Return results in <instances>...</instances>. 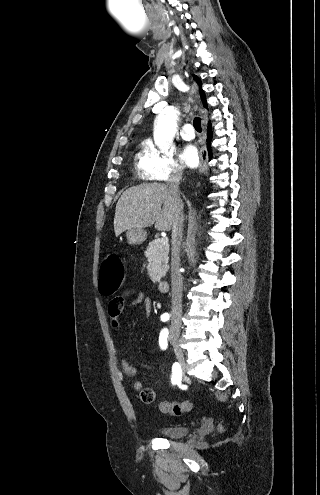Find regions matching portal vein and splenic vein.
<instances>
[{
	"label": "portal vein and splenic vein",
	"mask_w": 320,
	"mask_h": 495,
	"mask_svg": "<svg viewBox=\"0 0 320 495\" xmlns=\"http://www.w3.org/2000/svg\"><path fill=\"white\" fill-rule=\"evenodd\" d=\"M161 243H162L163 245H167V246H168V238H167V237L162 238V239H161Z\"/></svg>",
	"instance_id": "portal-vein-and-splenic-vein-1"
}]
</instances>
